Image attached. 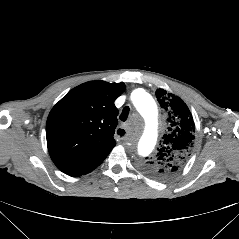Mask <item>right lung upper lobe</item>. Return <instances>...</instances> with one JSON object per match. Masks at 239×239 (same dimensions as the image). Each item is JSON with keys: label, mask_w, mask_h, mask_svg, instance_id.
Here are the masks:
<instances>
[{"label": "right lung upper lobe", "mask_w": 239, "mask_h": 239, "mask_svg": "<svg viewBox=\"0 0 239 239\" xmlns=\"http://www.w3.org/2000/svg\"><path fill=\"white\" fill-rule=\"evenodd\" d=\"M124 83L90 81L69 91L50 111L46 138L54 164L69 176L87 174L114 148L118 124L114 101Z\"/></svg>", "instance_id": "obj_1"}]
</instances>
